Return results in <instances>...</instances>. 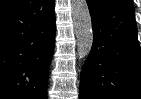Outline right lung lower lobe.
I'll return each mask as SVG.
<instances>
[{
    "label": "right lung lower lobe",
    "mask_w": 141,
    "mask_h": 99,
    "mask_svg": "<svg viewBox=\"0 0 141 99\" xmlns=\"http://www.w3.org/2000/svg\"><path fill=\"white\" fill-rule=\"evenodd\" d=\"M55 28L54 0L0 11V99H47Z\"/></svg>",
    "instance_id": "98d812e1"
}]
</instances>
